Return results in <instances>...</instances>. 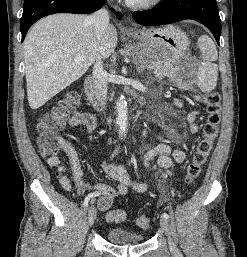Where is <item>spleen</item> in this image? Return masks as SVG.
Returning <instances> with one entry per match:
<instances>
[{"label":"spleen","instance_id":"obj_1","mask_svg":"<svg viewBox=\"0 0 247 257\" xmlns=\"http://www.w3.org/2000/svg\"><path fill=\"white\" fill-rule=\"evenodd\" d=\"M198 46L202 62L197 71L196 83L202 92L209 93L217 84L218 67L213 62L217 60L218 53L214 42L207 35L198 38Z\"/></svg>","mask_w":247,"mask_h":257}]
</instances>
